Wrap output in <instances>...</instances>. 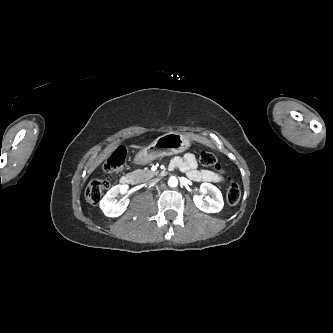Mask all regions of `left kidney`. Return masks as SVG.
<instances>
[{
    "label": "left kidney",
    "mask_w": 333,
    "mask_h": 333,
    "mask_svg": "<svg viewBox=\"0 0 333 333\" xmlns=\"http://www.w3.org/2000/svg\"><path fill=\"white\" fill-rule=\"evenodd\" d=\"M200 190L205 196L194 195L193 201L198 209L206 213H217L222 210L224 201L221 191L210 183H202Z\"/></svg>",
    "instance_id": "obj_1"
}]
</instances>
